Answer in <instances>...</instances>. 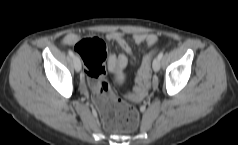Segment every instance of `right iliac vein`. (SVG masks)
<instances>
[{
  "label": "right iliac vein",
  "mask_w": 238,
  "mask_h": 145,
  "mask_svg": "<svg viewBox=\"0 0 238 145\" xmlns=\"http://www.w3.org/2000/svg\"><path fill=\"white\" fill-rule=\"evenodd\" d=\"M73 62H74L75 70L77 72H79L81 70V60H80L79 56H75Z\"/></svg>",
  "instance_id": "63e3f726"
}]
</instances>
